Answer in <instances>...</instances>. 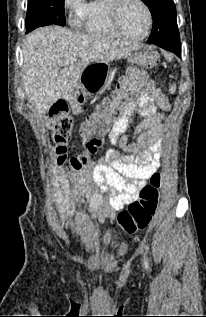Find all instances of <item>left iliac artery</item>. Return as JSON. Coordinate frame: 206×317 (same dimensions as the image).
I'll list each match as a JSON object with an SVG mask.
<instances>
[{
    "label": "left iliac artery",
    "mask_w": 206,
    "mask_h": 317,
    "mask_svg": "<svg viewBox=\"0 0 206 317\" xmlns=\"http://www.w3.org/2000/svg\"><path fill=\"white\" fill-rule=\"evenodd\" d=\"M144 265H145V268L148 270L149 269V263H148V260H147L145 255H144Z\"/></svg>",
    "instance_id": "obj_1"
}]
</instances>
